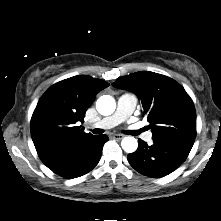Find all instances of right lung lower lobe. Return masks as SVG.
Instances as JSON below:
<instances>
[{
    "instance_id": "right-lung-lower-lobe-1",
    "label": "right lung lower lobe",
    "mask_w": 221,
    "mask_h": 221,
    "mask_svg": "<svg viewBox=\"0 0 221 221\" xmlns=\"http://www.w3.org/2000/svg\"><path fill=\"white\" fill-rule=\"evenodd\" d=\"M106 141H108L106 135L94 136L68 161L52 171L67 179L85 175L98 164Z\"/></svg>"
}]
</instances>
